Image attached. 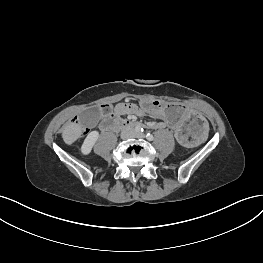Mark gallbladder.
<instances>
[{"label":"gallbladder","instance_id":"bac80fb5","mask_svg":"<svg viewBox=\"0 0 263 263\" xmlns=\"http://www.w3.org/2000/svg\"><path fill=\"white\" fill-rule=\"evenodd\" d=\"M80 118L84 125L95 126L100 119V108L97 106L89 107L81 113Z\"/></svg>","mask_w":263,"mask_h":263}]
</instances>
